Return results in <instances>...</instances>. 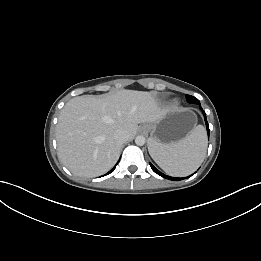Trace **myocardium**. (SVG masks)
<instances>
[{"instance_id":"1","label":"myocardium","mask_w":261,"mask_h":261,"mask_svg":"<svg viewBox=\"0 0 261 261\" xmlns=\"http://www.w3.org/2000/svg\"><path fill=\"white\" fill-rule=\"evenodd\" d=\"M173 104H174V105H178V101H174Z\"/></svg>"}]
</instances>
